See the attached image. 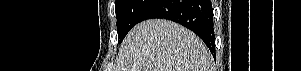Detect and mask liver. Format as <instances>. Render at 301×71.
I'll use <instances>...</instances> for the list:
<instances>
[{"label":"liver","instance_id":"6515ba94","mask_svg":"<svg viewBox=\"0 0 301 71\" xmlns=\"http://www.w3.org/2000/svg\"><path fill=\"white\" fill-rule=\"evenodd\" d=\"M115 71H213L203 41L183 26L163 19L137 24L126 36Z\"/></svg>","mask_w":301,"mask_h":71}]
</instances>
